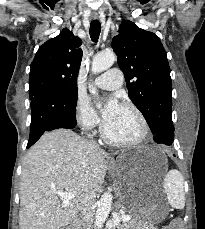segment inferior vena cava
<instances>
[{
    "instance_id": "obj_1",
    "label": "inferior vena cava",
    "mask_w": 205,
    "mask_h": 229,
    "mask_svg": "<svg viewBox=\"0 0 205 229\" xmlns=\"http://www.w3.org/2000/svg\"><path fill=\"white\" fill-rule=\"evenodd\" d=\"M93 144H95V142H93ZM94 199L95 193L91 192L87 194L82 201L83 229H91L92 227L94 216L92 205L94 204Z\"/></svg>"
}]
</instances>
